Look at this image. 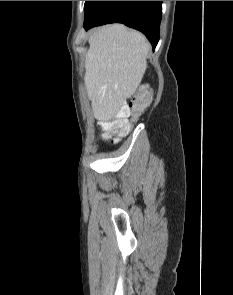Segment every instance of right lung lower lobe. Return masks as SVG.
<instances>
[{"mask_svg":"<svg viewBox=\"0 0 233 295\" xmlns=\"http://www.w3.org/2000/svg\"><path fill=\"white\" fill-rule=\"evenodd\" d=\"M162 1H90L85 9L86 30L108 23H123L137 29L151 42L159 40Z\"/></svg>","mask_w":233,"mask_h":295,"instance_id":"obj_1","label":"right lung lower lobe"}]
</instances>
